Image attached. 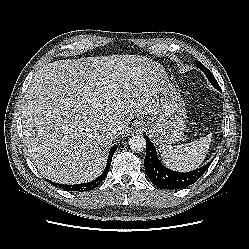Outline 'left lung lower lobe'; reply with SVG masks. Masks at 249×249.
<instances>
[{
	"label": "left lung lower lobe",
	"instance_id": "1",
	"mask_svg": "<svg viewBox=\"0 0 249 249\" xmlns=\"http://www.w3.org/2000/svg\"><path fill=\"white\" fill-rule=\"evenodd\" d=\"M146 139V156L144 167L149 179L159 188L162 189H181L195 183L209 168L211 162L203 167L187 173L172 171L159 161L154 145L147 136Z\"/></svg>",
	"mask_w": 249,
	"mask_h": 249
}]
</instances>
